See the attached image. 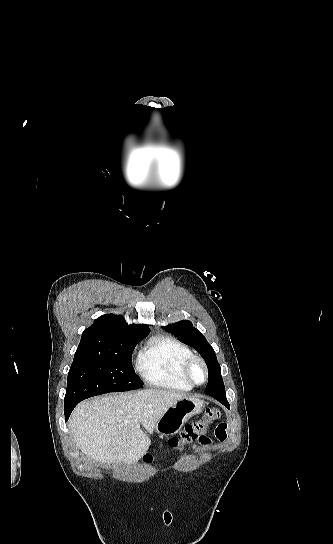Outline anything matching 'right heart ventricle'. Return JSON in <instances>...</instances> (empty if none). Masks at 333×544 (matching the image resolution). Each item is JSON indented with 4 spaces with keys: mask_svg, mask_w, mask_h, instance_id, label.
I'll return each mask as SVG.
<instances>
[{
    "mask_svg": "<svg viewBox=\"0 0 333 544\" xmlns=\"http://www.w3.org/2000/svg\"><path fill=\"white\" fill-rule=\"evenodd\" d=\"M192 355L191 349L180 340L169 336H154L140 350L137 369L149 386L189 391L192 386L182 378L181 367Z\"/></svg>",
    "mask_w": 333,
    "mask_h": 544,
    "instance_id": "obj_1",
    "label": "right heart ventricle"
}]
</instances>
